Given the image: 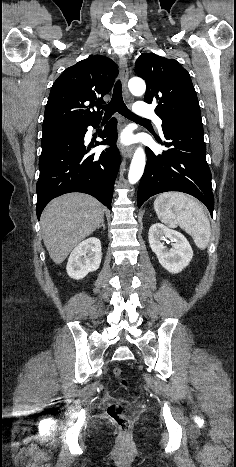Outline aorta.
I'll use <instances>...</instances> for the list:
<instances>
[{
  "instance_id": "obj_1",
  "label": "aorta",
  "mask_w": 236,
  "mask_h": 467,
  "mask_svg": "<svg viewBox=\"0 0 236 467\" xmlns=\"http://www.w3.org/2000/svg\"><path fill=\"white\" fill-rule=\"evenodd\" d=\"M130 92L135 96H141L145 93L146 85L141 78H132L128 82ZM146 164L145 152L142 147H138L133 155L128 180L131 184L137 183L143 175Z\"/></svg>"
}]
</instances>
